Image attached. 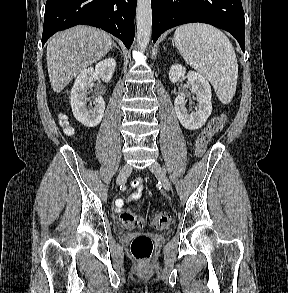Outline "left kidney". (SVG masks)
I'll list each match as a JSON object with an SVG mask.
<instances>
[{
    "label": "left kidney",
    "mask_w": 288,
    "mask_h": 293,
    "mask_svg": "<svg viewBox=\"0 0 288 293\" xmlns=\"http://www.w3.org/2000/svg\"><path fill=\"white\" fill-rule=\"evenodd\" d=\"M186 74V69L179 65L174 64L169 71V79L172 83H176ZM187 79L191 86V91L196 95L197 106L195 111L189 113L186 108V102L182 95H177L174 101L175 113L182 124L188 130H196L201 128L212 112L211 103V87L209 82L199 73L189 71Z\"/></svg>",
    "instance_id": "obj_1"
}]
</instances>
